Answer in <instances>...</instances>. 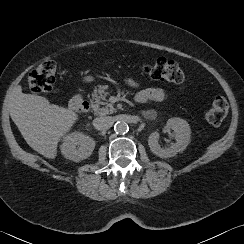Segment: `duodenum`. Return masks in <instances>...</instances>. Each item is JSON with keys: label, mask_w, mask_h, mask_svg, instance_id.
Segmentation results:
<instances>
[{"label": "duodenum", "mask_w": 244, "mask_h": 244, "mask_svg": "<svg viewBox=\"0 0 244 244\" xmlns=\"http://www.w3.org/2000/svg\"><path fill=\"white\" fill-rule=\"evenodd\" d=\"M69 108L73 111H77L79 109L86 110L90 108V104L84 101L80 94H75L69 101Z\"/></svg>", "instance_id": "duodenum-1"}]
</instances>
